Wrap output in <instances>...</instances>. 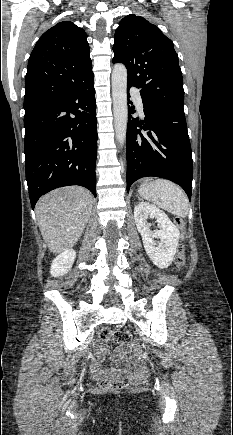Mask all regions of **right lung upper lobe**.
I'll use <instances>...</instances> for the list:
<instances>
[{
  "instance_id": "right-lung-upper-lobe-1",
  "label": "right lung upper lobe",
  "mask_w": 233,
  "mask_h": 435,
  "mask_svg": "<svg viewBox=\"0 0 233 435\" xmlns=\"http://www.w3.org/2000/svg\"><path fill=\"white\" fill-rule=\"evenodd\" d=\"M83 29L63 21L36 43L27 67L25 114L59 98L92 74L90 48Z\"/></svg>"
}]
</instances>
